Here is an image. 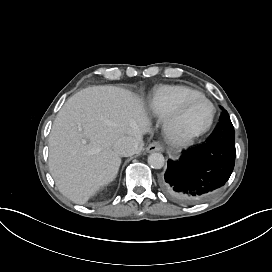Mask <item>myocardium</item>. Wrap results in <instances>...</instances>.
<instances>
[{"label": "myocardium", "mask_w": 272, "mask_h": 272, "mask_svg": "<svg viewBox=\"0 0 272 272\" xmlns=\"http://www.w3.org/2000/svg\"><path fill=\"white\" fill-rule=\"evenodd\" d=\"M203 99L205 100L211 108V116L210 119L208 121V123L198 129H191V130H183L180 128L179 124H178V118L174 117V119L171 120V126H170V131L172 133V135L177 138V139H183V138H190V137H196L199 136L205 132H207L208 130H210V128L212 127L215 118H216V106L215 104L212 102L211 99H209L208 97H206L204 94H197L188 98L183 99L175 108L174 111L178 112V113H182V111L184 110V108L191 103L192 101H194L195 99Z\"/></svg>", "instance_id": "myocardium-1"}]
</instances>
